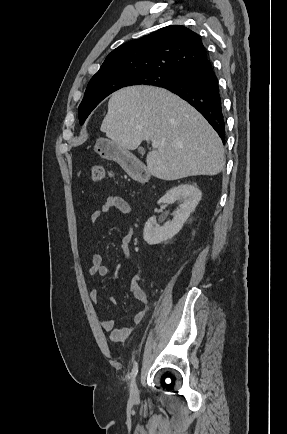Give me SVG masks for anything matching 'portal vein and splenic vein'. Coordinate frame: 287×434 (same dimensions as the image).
Wrapping results in <instances>:
<instances>
[{"mask_svg":"<svg viewBox=\"0 0 287 434\" xmlns=\"http://www.w3.org/2000/svg\"><path fill=\"white\" fill-rule=\"evenodd\" d=\"M159 146V143L156 141H152V147L157 148Z\"/></svg>","mask_w":287,"mask_h":434,"instance_id":"obj_1","label":"portal vein and splenic vein"}]
</instances>
